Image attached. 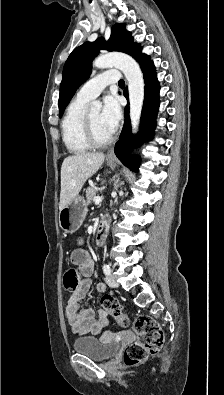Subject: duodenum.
<instances>
[{
	"instance_id": "duodenum-1",
	"label": "duodenum",
	"mask_w": 224,
	"mask_h": 395,
	"mask_svg": "<svg viewBox=\"0 0 224 395\" xmlns=\"http://www.w3.org/2000/svg\"><path fill=\"white\" fill-rule=\"evenodd\" d=\"M110 223H111V221L109 218H104L100 222L97 232H96V235H95V245L96 246H102L105 244L107 237H108L109 229H110Z\"/></svg>"
}]
</instances>
